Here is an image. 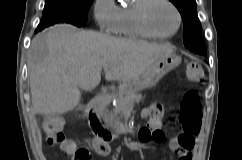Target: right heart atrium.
<instances>
[{"instance_id": "1", "label": "right heart atrium", "mask_w": 242, "mask_h": 160, "mask_svg": "<svg viewBox=\"0 0 242 160\" xmlns=\"http://www.w3.org/2000/svg\"><path fill=\"white\" fill-rule=\"evenodd\" d=\"M93 15L102 31L114 33L118 16V6L114 0H94Z\"/></svg>"}]
</instances>
